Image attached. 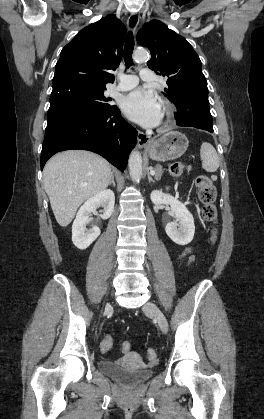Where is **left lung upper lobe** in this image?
Here are the masks:
<instances>
[{
  "label": "left lung upper lobe",
  "instance_id": "5c2ea615",
  "mask_svg": "<svg viewBox=\"0 0 264 419\" xmlns=\"http://www.w3.org/2000/svg\"><path fill=\"white\" fill-rule=\"evenodd\" d=\"M137 41L150 50L148 67L167 78L164 95L177 109L187 101L208 97L200 58L185 38L161 21L152 20L138 32Z\"/></svg>",
  "mask_w": 264,
  "mask_h": 419
}]
</instances>
